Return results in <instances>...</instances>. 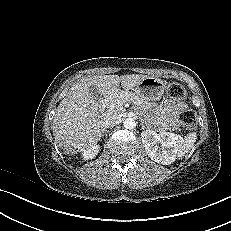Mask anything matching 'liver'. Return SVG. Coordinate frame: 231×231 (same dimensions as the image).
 <instances>
[{"instance_id":"1","label":"liver","mask_w":231,"mask_h":231,"mask_svg":"<svg viewBox=\"0 0 231 231\" xmlns=\"http://www.w3.org/2000/svg\"><path fill=\"white\" fill-rule=\"evenodd\" d=\"M149 76L142 74L85 77L69 90L60 102L52 122L53 135L65 154L74 155L96 145L102 136L103 116L89 88L100 94L115 95L119 85L124 90L136 87Z\"/></svg>"}]
</instances>
